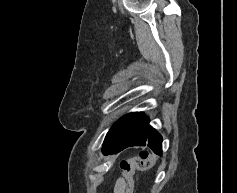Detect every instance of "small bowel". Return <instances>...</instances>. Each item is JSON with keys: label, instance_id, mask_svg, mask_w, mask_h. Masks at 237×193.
I'll return each mask as SVG.
<instances>
[{"label": "small bowel", "instance_id": "c3829d8e", "mask_svg": "<svg viewBox=\"0 0 237 193\" xmlns=\"http://www.w3.org/2000/svg\"><path fill=\"white\" fill-rule=\"evenodd\" d=\"M114 193H126V182L124 179L120 178L117 180L114 187Z\"/></svg>", "mask_w": 237, "mask_h": 193}]
</instances>
